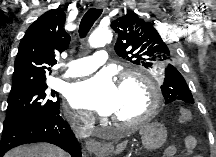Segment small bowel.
<instances>
[{"label":"small bowel","mask_w":216,"mask_h":157,"mask_svg":"<svg viewBox=\"0 0 216 157\" xmlns=\"http://www.w3.org/2000/svg\"><path fill=\"white\" fill-rule=\"evenodd\" d=\"M197 146V141L193 136H187L184 140V156H190ZM176 154V148L174 146H169L164 151L165 157H172Z\"/></svg>","instance_id":"obj_1"}]
</instances>
